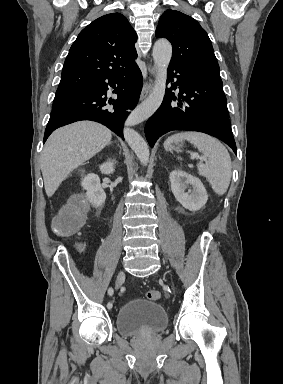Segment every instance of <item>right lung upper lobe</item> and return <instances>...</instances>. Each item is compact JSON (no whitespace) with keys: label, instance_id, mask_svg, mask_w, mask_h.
I'll use <instances>...</instances> for the list:
<instances>
[{"label":"right lung upper lobe","instance_id":"obj_1","mask_svg":"<svg viewBox=\"0 0 283 384\" xmlns=\"http://www.w3.org/2000/svg\"><path fill=\"white\" fill-rule=\"evenodd\" d=\"M137 35L125 16L104 15L85 27L65 60L58 91L87 89L131 71Z\"/></svg>","mask_w":283,"mask_h":384}]
</instances>
